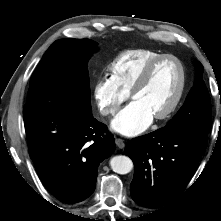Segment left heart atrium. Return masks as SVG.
<instances>
[{"mask_svg": "<svg viewBox=\"0 0 221 221\" xmlns=\"http://www.w3.org/2000/svg\"><path fill=\"white\" fill-rule=\"evenodd\" d=\"M152 114L139 102L132 101L112 121V128L125 135L136 136L151 124Z\"/></svg>", "mask_w": 221, "mask_h": 221, "instance_id": "39dd6f15", "label": "left heart atrium"}]
</instances>
